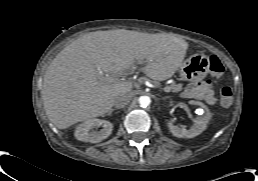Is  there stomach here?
<instances>
[{"label":"stomach","mask_w":258,"mask_h":181,"mask_svg":"<svg viewBox=\"0 0 258 181\" xmlns=\"http://www.w3.org/2000/svg\"><path fill=\"white\" fill-rule=\"evenodd\" d=\"M209 67V58L204 54L197 53L182 62L179 74L185 81L202 79L207 75Z\"/></svg>","instance_id":"obj_1"}]
</instances>
